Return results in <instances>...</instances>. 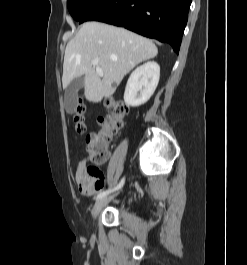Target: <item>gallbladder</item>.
Returning a JSON list of instances; mask_svg holds the SVG:
<instances>
[{
    "instance_id": "gallbladder-1",
    "label": "gallbladder",
    "mask_w": 247,
    "mask_h": 265,
    "mask_svg": "<svg viewBox=\"0 0 247 265\" xmlns=\"http://www.w3.org/2000/svg\"><path fill=\"white\" fill-rule=\"evenodd\" d=\"M84 87L82 76L73 79L65 90V108L69 114H73L77 105V93Z\"/></svg>"
}]
</instances>
